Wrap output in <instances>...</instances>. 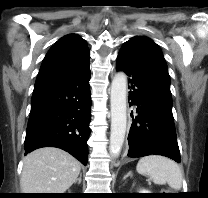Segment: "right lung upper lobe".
<instances>
[{"instance_id": "1", "label": "right lung upper lobe", "mask_w": 208, "mask_h": 198, "mask_svg": "<svg viewBox=\"0 0 208 198\" xmlns=\"http://www.w3.org/2000/svg\"><path fill=\"white\" fill-rule=\"evenodd\" d=\"M85 40L75 34L59 39L48 51L41 65L34 91L66 82L89 67Z\"/></svg>"}]
</instances>
